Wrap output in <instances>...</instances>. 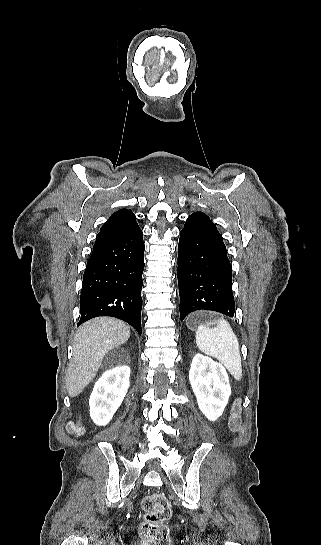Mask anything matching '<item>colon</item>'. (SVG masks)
<instances>
[{"instance_id":"1","label":"colon","mask_w":321,"mask_h":545,"mask_svg":"<svg viewBox=\"0 0 321 545\" xmlns=\"http://www.w3.org/2000/svg\"><path fill=\"white\" fill-rule=\"evenodd\" d=\"M241 407V400L235 401L232 406L230 425L233 431L240 427ZM69 430L77 436L83 431L79 423H71ZM142 508L144 517L140 534L146 545H169V532L165 522L170 518L172 509L167 498L162 494H150L143 499Z\"/></svg>"}]
</instances>
